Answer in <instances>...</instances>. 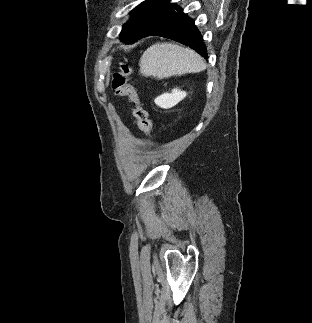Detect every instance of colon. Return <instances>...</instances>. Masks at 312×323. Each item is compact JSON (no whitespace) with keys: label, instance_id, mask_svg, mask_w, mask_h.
Returning <instances> with one entry per match:
<instances>
[{"label":"colon","instance_id":"1","mask_svg":"<svg viewBox=\"0 0 312 323\" xmlns=\"http://www.w3.org/2000/svg\"><path fill=\"white\" fill-rule=\"evenodd\" d=\"M131 72L127 62L121 64L120 70L115 73L113 79V91L116 97H127L134 105V113L138 126L143 135L150 137L152 134V121L145 109L136 87L127 80V75Z\"/></svg>","mask_w":312,"mask_h":323}]
</instances>
